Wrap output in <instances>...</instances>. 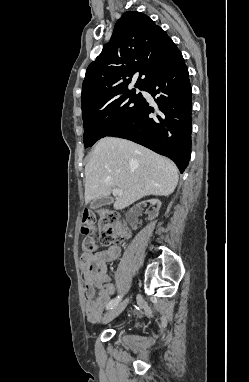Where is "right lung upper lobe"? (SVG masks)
I'll return each instance as SVG.
<instances>
[{
  "label": "right lung upper lobe",
  "mask_w": 249,
  "mask_h": 382,
  "mask_svg": "<svg viewBox=\"0 0 249 382\" xmlns=\"http://www.w3.org/2000/svg\"><path fill=\"white\" fill-rule=\"evenodd\" d=\"M181 57L174 42L150 17L137 11L125 12L117 21L110 41L87 68L82 108L125 94L137 72L135 87L143 89L152 75Z\"/></svg>",
  "instance_id": "right-lung-upper-lobe-1"
}]
</instances>
